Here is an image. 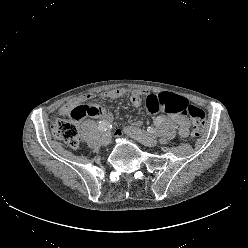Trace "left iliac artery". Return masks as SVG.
Returning <instances> with one entry per match:
<instances>
[{
    "mask_svg": "<svg viewBox=\"0 0 248 248\" xmlns=\"http://www.w3.org/2000/svg\"><path fill=\"white\" fill-rule=\"evenodd\" d=\"M150 132H154L155 130L151 127H149Z\"/></svg>",
    "mask_w": 248,
    "mask_h": 248,
    "instance_id": "left-iliac-artery-1",
    "label": "left iliac artery"
}]
</instances>
